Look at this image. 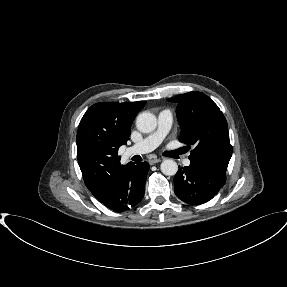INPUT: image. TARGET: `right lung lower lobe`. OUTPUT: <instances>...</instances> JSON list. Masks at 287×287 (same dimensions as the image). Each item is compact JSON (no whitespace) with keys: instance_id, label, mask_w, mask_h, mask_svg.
I'll return each mask as SVG.
<instances>
[{"instance_id":"obj_1","label":"right lung lower lobe","mask_w":287,"mask_h":287,"mask_svg":"<svg viewBox=\"0 0 287 287\" xmlns=\"http://www.w3.org/2000/svg\"><path fill=\"white\" fill-rule=\"evenodd\" d=\"M148 170L147 162L128 163L106 182L97 200L116 212L136 206L144 196Z\"/></svg>"}]
</instances>
